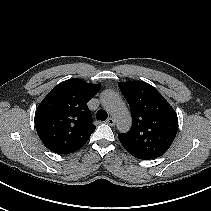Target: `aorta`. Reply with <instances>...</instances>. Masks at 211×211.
I'll use <instances>...</instances> for the list:
<instances>
[{
  "label": "aorta",
  "mask_w": 211,
  "mask_h": 211,
  "mask_svg": "<svg viewBox=\"0 0 211 211\" xmlns=\"http://www.w3.org/2000/svg\"><path fill=\"white\" fill-rule=\"evenodd\" d=\"M102 106L112 115L120 132H127L131 127V115L122 99L112 91L101 95Z\"/></svg>",
  "instance_id": "762f6f07"
}]
</instances>
